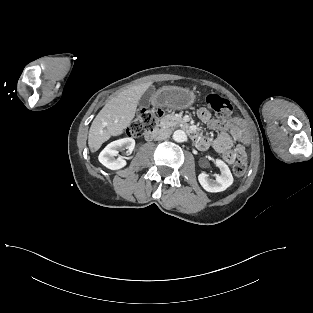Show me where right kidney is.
<instances>
[{
    "label": "right kidney",
    "mask_w": 313,
    "mask_h": 313,
    "mask_svg": "<svg viewBox=\"0 0 313 313\" xmlns=\"http://www.w3.org/2000/svg\"><path fill=\"white\" fill-rule=\"evenodd\" d=\"M125 147L128 153L131 154L135 147L133 138H122L108 144L99 154V162L111 170H118L126 165V161L122 157L116 158L118 149Z\"/></svg>",
    "instance_id": "right-kidney-1"
}]
</instances>
